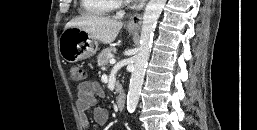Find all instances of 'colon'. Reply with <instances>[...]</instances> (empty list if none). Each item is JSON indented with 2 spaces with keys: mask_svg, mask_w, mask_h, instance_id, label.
I'll return each instance as SVG.
<instances>
[{
  "mask_svg": "<svg viewBox=\"0 0 257 130\" xmlns=\"http://www.w3.org/2000/svg\"><path fill=\"white\" fill-rule=\"evenodd\" d=\"M69 75L74 82H82L85 79V71L79 66L70 67Z\"/></svg>",
  "mask_w": 257,
  "mask_h": 130,
  "instance_id": "obj_1",
  "label": "colon"
}]
</instances>
